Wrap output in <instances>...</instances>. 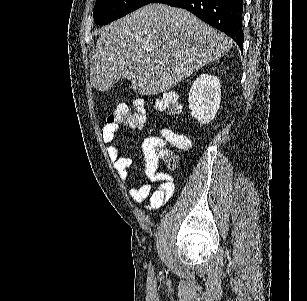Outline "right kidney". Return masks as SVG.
Masks as SVG:
<instances>
[{"label":"right kidney","mask_w":307,"mask_h":301,"mask_svg":"<svg viewBox=\"0 0 307 301\" xmlns=\"http://www.w3.org/2000/svg\"><path fill=\"white\" fill-rule=\"evenodd\" d=\"M188 102L192 116L200 124H209L221 102L219 78L214 74H199L189 90Z\"/></svg>","instance_id":"obj_1"}]
</instances>
